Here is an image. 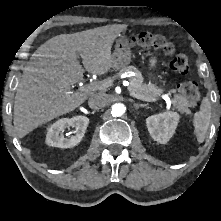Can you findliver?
I'll return each mask as SVG.
<instances>
[{
  "mask_svg": "<svg viewBox=\"0 0 221 221\" xmlns=\"http://www.w3.org/2000/svg\"><path fill=\"white\" fill-rule=\"evenodd\" d=\"M124 25L61 34L42 44L24 69L14 104V127L23 138L38 126L78 108L94 93L72 91L84 71L104 75L112 67L111 47ZM77 54L83 60L80 64Z\"/></svg>",
  "mask_w": 221,
  "mask_h": 221,
  "instance_id": "obj_1",
  "label": "liver"
}]
</instances>
